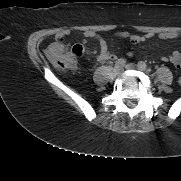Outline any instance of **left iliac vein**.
<instances>
[{
  "label": "left iliac vein",
  "instance_id": "1",
  "mask_svg": "<svg viewBox=\"0 0 181 181\" xmlns=\"http://www.w3.org/2000/svg\"><path fill=\"white\" fill-rule=\"evenodd\" d=\"M126 69H139L142 70L141 68H139L137 65L133 64V63H129L125 66Z\"/></svg>",
  "mask_w": 181,
  "mask_h": 181
}]
</instances>
